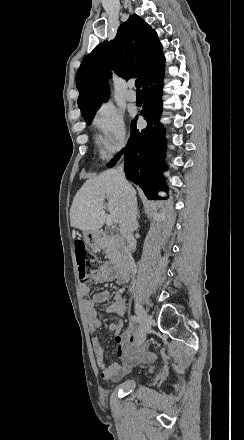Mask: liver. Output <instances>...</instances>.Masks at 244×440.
<instances>
[{"mask_svg":"<svg viewBox=\"0 0 244 440\" xmlns=\"http://www.w3.org/2000/svg\"><path fill=\"white\" fill-rule=\"evenodd\" d=\"M107 200L108 204H105ZM107 206L118 224L124 206V188L116 170H106L96 178H89L78 190L70 210V224L78 230H100Z\"/></svg>","mask_w":244,"mask_h":440,"instance_id":"liver-1","label":"liver"}]
</instances>
